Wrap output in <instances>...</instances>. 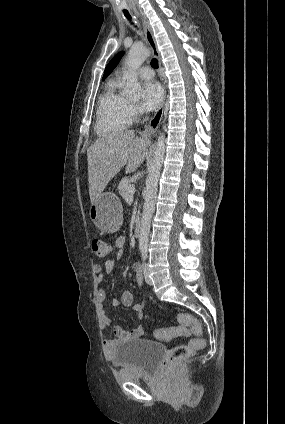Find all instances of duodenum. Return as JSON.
Returning a JSON list of instances; mask_svg holds the SVG:
<instances>
[{"mask_svg": "<svg viewBox=\"0 0 285 424\" xmlns=\"http://www.w3.org/2000/svg\"><path fill=\"white\" fill-rule=\"evenodd\" d=\"M141 235V221H139L134 228V236L135 238H139Z\"/></svg>", "mask_w": 285, "mask_h": 424, "instance_id": "duodenum-1", "label": "duodenum"}]
</instances>
